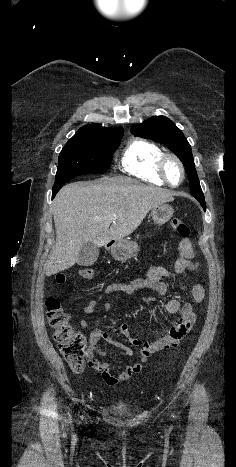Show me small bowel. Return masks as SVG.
I'll use <instances>...</instances> for the list:
<instances>
[{
  "instance_id": "small-bowel-1",
  "label": "small bowel",
  "mask_w": 236,
  "mask_h": 467,
  "mask_svg": "<svg viewBox=\"0 0 236 467\" xmlns=\"http://www.w3.org/2000/svg\"><path fill=\"white\" fill-rule=\"evenodd\" d=\"M179 252L180 257L176 260L172 269L161 265L150 264L147 267L145 278L134 279L128 284L113 283L107 285L97 298L84 304L83 311L86 314L93 313L99 300L106 295L117 292L132 295L140 289H152L159 295H164L166 281H172L176 276L186 277L188 271H194L197 269V264L193 261L194 252L191 241H182L179 245ZM190 293L195 303H201L204 300L205 290L200 283L192 281L190 283ZM104 307L106 312H110L112 309L111 301H106ZM165 309L168 313H178L179 316L173 326L169 329L168 333L153 342H144L139 338L132 337L130 335V327L127 323H121L119 325L121 335L124 336L131 344L140 347V359L138 362L127 366L117 374L111 370L108 363L100 362L98 360L97 356H102L104 354L99 347V342L104 340L122 350L126 355H132L131 349L116 340L108 332L97 328L91 329L89 332V350L91 357L89 367L99 373L107 385H115L119 381H126L132 376L138 374L142 370L143 363L147 361L152 353L176 347L181 339L188 334L195 321L192 304H181L178 299H171L166 303ZM80 326L84 330H87V319H81Z\"/></svg>"
}]
</instances>
